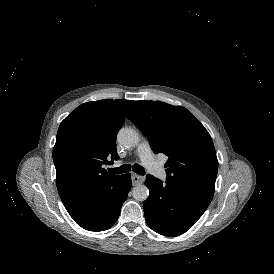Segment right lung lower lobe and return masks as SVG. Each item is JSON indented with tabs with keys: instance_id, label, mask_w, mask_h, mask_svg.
<instances>
[{
	"instance_id": "98d812e1",
	"label": "right lung lower lobe",
	"mask_w": 274,
	"mask_h": 274,
	"mask_svg": "<svg viewBox=\"0 0 274 274\" xmlns=\"http://www.w3.org/2000/svg\"><path fill=\"white\" fill-rule=\"evenodd\" d=\"M131 188V175H120L118 179L103 187L89 203L70 212L73 220L89 231H103L118 219L121 207Z\"/></svg>"
}]
</instances>
